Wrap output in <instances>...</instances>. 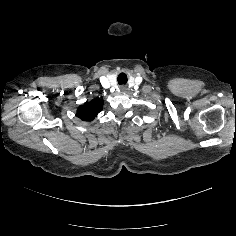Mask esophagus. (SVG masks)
I'll use <instances>...</instances> for the list:
<instances>
[{
  "mask_svg": "<svg viewBox=\"0 0 236 236\" xmlns=\"http://www.w3.org/2000/svg\"><path fill=\"white\" fill-rule=\"evenodd\" d=\"M120 90H121V92H125L127 90V87L122 85V86H120Z\"/></svg>",
  "mask_w": 236,
  "mask_h": 236,
  "instance_id": "esophagus-1",
  "label": "esophagus"
}]
</instances>
